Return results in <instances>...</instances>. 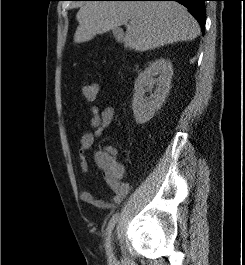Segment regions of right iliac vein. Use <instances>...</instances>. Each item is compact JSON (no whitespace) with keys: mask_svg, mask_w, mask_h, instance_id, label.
<instances>
[{"mask_svg":"<svg viewBox=\"0 0 245 265\" xmlns=\"http://www.w3.org/2000/svg\"><path fill=\"white\" fill-rule=\"evenodd\" d=\"M107 255L109 256V259L112 260L113 257V246H112V238H109V240L107 241Z\"/></svg>","mask_w":245,"mask_h":265,"instance_id":"63e3f726","label":"right iliac vein"}]
</instances>
